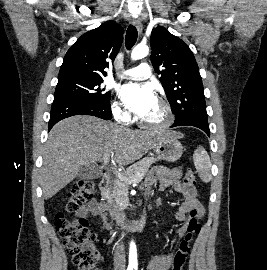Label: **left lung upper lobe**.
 Listing matches in <instances>:
<instances>
[{"label": "left lung upper lobe", "instance_id": "5c2ea615", "mask_svg": "<svg viewBox=\"0 0 267 270\" xmlns=\"http://www.w3.org/2000/svg\"><path fill=\"white\" fill-rule=\"evenodd\" d=\"M151 62L161 75L175 123L188 119L207 121L202 79L195 57L179 37L164 27L154 28L151 35Z\"/></svg>", "mask_w": 267, "mask_h": 270}]
</instances>
